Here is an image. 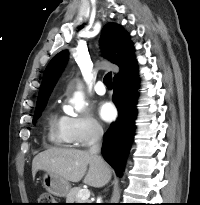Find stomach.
Returning <instances> with one entry per match:
<instances>
[{
    "label": "stomach",
    "mask_w": 200,
    "mask_h": 205,
    "mask_svg": "<svg viewBox=\"0 0 200 205\" xmlns=\"http://www.w3.org/2000/svg\"><path fill=\"white\" fill-rule=\"evenodd\" d=\"M43 186L45 189L57 197H65L70 191V184L63 177L46 172L43 175Z\"/></svg>",
    "instance_id": "1"
}]
</instances>
